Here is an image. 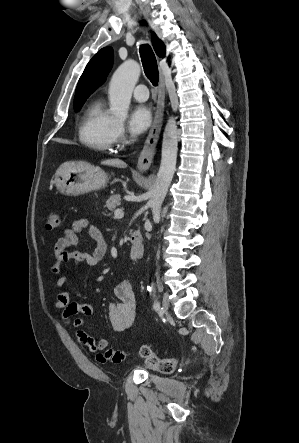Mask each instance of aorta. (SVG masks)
I'll return each instance as SVG.
<instances>
[{
  "label": "aorta",
  "mask_w": 299,
  "mask_h": 443,
  "mask_svg": "<svg viewBox=\"0 0 299 443\" xmlns=\"http://www.w3.org/2000/svg\"><path fill=\"white\" fill-rule=\"evenodd\" d=\"M141 73L140 65L134 60H127L114 72L109 84V101L111 114L120 120L126 119L133 89ZM178 151V130L176 119L169 117L162 140V157L159 171L151 190L148 205L153 219H160L162 203L176 170Z\"/></svg>",
  "instance_id": "1"
}]
</instances>
